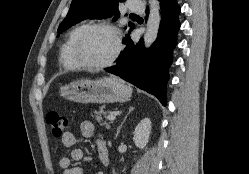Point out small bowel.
Wrapping results in <instances>:
<instances>
[{
	"instance_id": "1",
	"label": "small bowel",
	"mask_w": 249,
	"mask_h": 174,
	"mask_svg": "<svg viewBox=\"0 0 249 174\" xmlns=\"http://www.w3.org/2000/svg\"><path fill=\"white\" fill-rule=\"evenodd\" d=\"M81 133L84 137H95L94 125L90 121H84L81 123ZM62 144L65 147L72 148L77 144V138L71 132H67L62 136ZM98 159L102 166L107 167L109 165V153L108 149L102 138H96ZM84 150L82 148L74 147L70 153V156H62L59 159V166L63 169V174H84V169L81 167H71L72 161H80L84 158Z\"/></svg>"
}]
</instances>
